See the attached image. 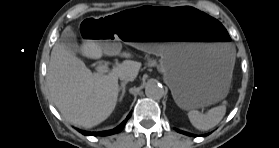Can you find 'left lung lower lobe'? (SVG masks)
<instances>
[{
  "label": "left lung lower lobe",
  "mask_w": 279,
  "mask_h": 148,
  "mask_svg": "<svg viewBox=\"0 0 279 148\" xmlns=\"http://www.w3.org/2000/svg\"><path fill=\"white\" fill-rule=\"evenodd\" d=\"M177 131L180 132V133H183V134H185V135L192 136V135L189 134V133H186V132H183V131H180V130H177Z\"/></svg>",
  "instance_id": "1"
}]
</instances>
